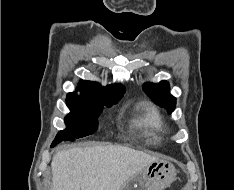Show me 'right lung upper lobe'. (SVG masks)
<instances>
[{"mask_svg":"<svg viewBox=\"0 0 234 190\" xmlns=\"http://www.w3.org/2000/svg\"><path fill=\"white\" fill-rule=\"evenodd\" d=\"M78 90L81 95H77L75 92L68 93L66 100L112 104L118 102L124 94L122 85L113 84L103 87L97 82L84 80L80 81Z\"/></svg>","mask_w":234,"mask_h":190,"instance_id":"cb5924a9","label":"right lung upper lobe"}]
</instances>
